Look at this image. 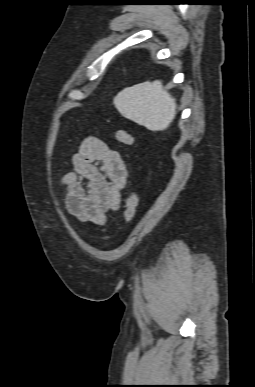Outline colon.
<instances>
[{
  "mask_svg": "<svg viewBox=\"0 0 255 387\" xmlns=\"http://www.w3.org/2000/svg\"><path fill=\"white\" fill-rule=\"evenodd\" d=\"M116 139L126 145V146H132L134 144V138L131 135V133L125 129H119L116 132ZM138 206V197L135 193H131L125 204V210H124V221L125 222H130L133 220L136 209Z\"/></svg>",
  "mask_w": 255,
  "mask_h": 387,
  "instance_id": "1",
  "label": "colon"
}]
</instances>
